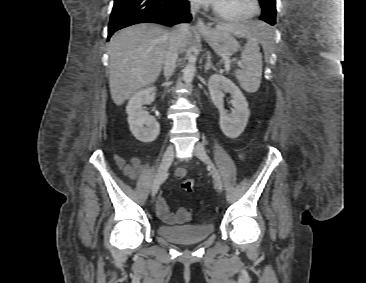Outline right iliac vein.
Segmentation results:
<instances>
[{
    "mask_svg": "<svg viewBox=\"0 0 366 283\" xmlns=\"http://www.w3.org/2000/svg\"><path fill=\"white\" fill-rule=\"evenodd\" d=\"M173 157H174V147L173 145H169L163 155V158H162V161H161V164L157 170V173L155 175V178H154V182H153V185H152V189H151V195L152 197H155L158 190H159V187L164 179V176L169 168V166L171 165L172 163V160H173Z\"/></svg>",
    "mask_w": 366,
    "mask_h": 283,
    "instance_id": "obj_1",
    "label": "right iliac vein"
}]
</instances>
